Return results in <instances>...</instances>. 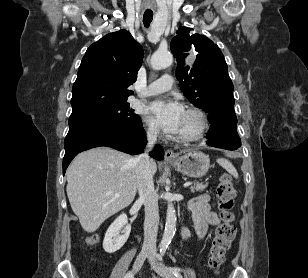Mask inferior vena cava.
Wrapping results in <instances>:
<instances>
[{"label": "inferior vena cava", "mask_w": 308, "mask_h": 278, "mask_svg": "<svg viewBox=\"0 0 308 278\" xmlns=\"http://www.w3.org/2000/svg\"><path fill=\"white\" fill-rule=\"evenodd\" d=\"M157 140V132L150 129L147 132V146L145 153L135 158L137 163V189L139 200L145 206L144 221V243L142 252L147 254H156V239L159 224L158 198L154 189L153 176L151 171V161L148 152L152 149Z\"/></svg>", "instance_id": "1"}]
</instances>
